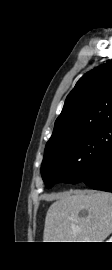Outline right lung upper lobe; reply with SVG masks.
I'll list each match as a JSON object with an SVG mask.
<instances>
[{
	"label": "right lung upper lobe",
	"instance_id": "right-lung-upper-lobe-1",
	"mask_svg": "<svg viewBox=\"0 0 112 270\" xmlns=\"http://www.w3.org/2000/svg\"><path fill=\"white\" fill-rule=\"evenodd\" d=\"M112 123V60L87 72L67 96L46 148Z\"/></svg>",
	"mask_w": 112,
	"mask_h": 270
}]
</instances>
